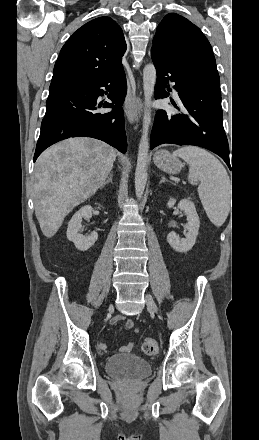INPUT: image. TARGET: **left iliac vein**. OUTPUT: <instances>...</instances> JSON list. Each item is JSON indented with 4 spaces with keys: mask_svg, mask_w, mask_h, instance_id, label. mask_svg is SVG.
Masks as SVG:
<instances>
[{
    "mask_svg": "<svg viewBox=\"0 0 259 440\" xmlns=\"http://www.w3.org/2000/svg\"><path fill=\"white\" fill-rule=\"evenodd\" d=\"M145 300H146V303H147L148 308H149L152 312L157 313V311H158V310H157V306H156V304H155V302H154L152 296L149 295V294H146V295H145Z\"/></svg>",
    "mask_w": 259,
    "mask_h": 440,
    "instance_id": "4c4485c4",
    "label": "left iliac vein"
}]
</instances>
